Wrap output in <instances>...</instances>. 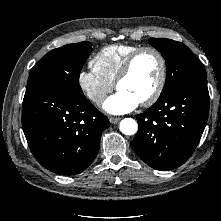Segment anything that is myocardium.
<instances>
[{"mask_svg":"<svg viewBox=\"0 0 221 221\" xmlns=\"http://www.w3.org/2000/svg\"><path fill=\"white\" fill-rule=\"evenodd\" d=\"M145 52L154 53L157 56L160 63V75L158 83L151 95L140 103L142 106H151L154 103H156L162 95L167 79V62L162 52L157 48L152 46H143L132 52L127 57L124 65L122 66L120 72L116 77L115 87L116 89H118L119 84L130 75L137 58Z\"/></svg>","mask_w":221,"mask_h":221,"instance_id":"f54148a6","label":"myocardium"}]
</instances>
